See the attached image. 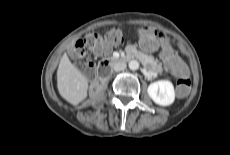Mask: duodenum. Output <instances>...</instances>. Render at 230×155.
Returning a JSON list of instances; mask_svg holds the SVG:
<instances>
[{
	"label": "duodenum",
	"instance_id": "1",
	"mask_svg": "<svg viewBox=\"0 0 230 155\" xmlns=\"http://www.w3.org/2000/svg\"><path fill=\"white\" fill-rule=\"evenodd\" d=\"M134 54H135L134 52L129 51L127 58L115 57V56L106 58L105 60H103L100 66V69H99L100 75H104L109 70V68L113 66L114 64L124 61L125 59L127 60L130 59Z\"/></svg>",
	"mask_w": 230,
	"mask_h": 155
}]
</instances>
